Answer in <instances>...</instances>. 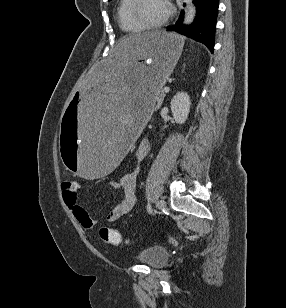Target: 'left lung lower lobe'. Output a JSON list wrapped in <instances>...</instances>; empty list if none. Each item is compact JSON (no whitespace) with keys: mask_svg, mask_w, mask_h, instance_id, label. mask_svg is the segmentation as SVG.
Masks as SVG:
<instances>
[{"mask_svg":"<svg viewBox=\"0 0 286 308\" xmlns=\"http://www.w3.org/2000/svg\"><path fill=\"white\" fill-rule=\"evenodd\" d=\"M196 17L191 26L182 24L184 12L181 11L177 22L167 27L168 31H176L205 44L213 53L215 41L216 17L219 0H195Z\"/></svg>","mask_w":286,"mask_h":308,"instance_id":"0a47b994","label":"left lung lower lobe"}]
</instances>
